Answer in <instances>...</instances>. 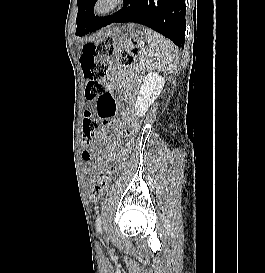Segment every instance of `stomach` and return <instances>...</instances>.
<instances>
[{
  "label": "stomach",
  "mask_w": 265,
  "mask_h": 273,
  "mask_svg": "<svg viewBox=\"0 0 265 273\" xmlns=\"http://www.w3.org/2000/svg\"><path fill=\"white\" fill-rule=\"evenodd\" d=\"M105 35H121L126 40L130 37L139 38V35H148L145 25H108Z\"/></svg>",
  "instance_id": "obj_1"
}]
</instances>
